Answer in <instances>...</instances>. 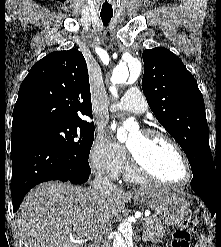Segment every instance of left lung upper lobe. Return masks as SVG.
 <instances>
[{"mask_svg":"<svg viewBox=\"0 0 221 247\" xmlns=\"http://www.w3.org/2000/svg\"><path fill=\"white\" fill-rule=\"evenodd\" d=\"M142 89L159 123L186 153L193 175L214 164L209 146L205 104L194 76L170 50L142 54Z\"/></svg>","mask_w":221,"mask_h":247,"instance_id":"left-lung-upper-lobe-1","label":"left lung upper lobe"}]
</instances>
